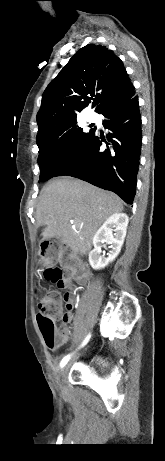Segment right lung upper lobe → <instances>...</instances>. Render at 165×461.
<instances>
[{"label": "right lung upper lobe", "instance_id": "obj_1", "mask_svg": "<svg viewBox=\"0 0 165 461\" xmlns=\"http://www.w3.org/2000/svg\"><path fill=\"white\" fill-rule=\"evenodd\" d=\"M122 60L112 50L88 44L63 67L42 95L37 113V139L61 124L76 119L94 98L102 114L135 95Z\"/></svg>", "mask_w": 165, "mask_h": 461}]
</instances>
